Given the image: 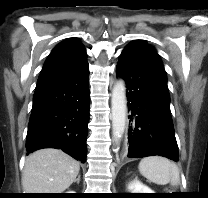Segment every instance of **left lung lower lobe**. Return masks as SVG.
Listing matches in <instances>:
<instances>
[{
  "mask_svg": "<svg viewBox=\"0 0 208 198\" xmlns=\"http://www.w3.org/2000/svg\"><path fill=\"white\" fill-rule=\"evenodd\" d=\"M116 74L128 90V157L159 155L178 161L167 79L154 50L144 41L131 42L120 55Z\"/></svg>",
  "mask_w": 208,
  "mask_h": 198,
  "instance_id": "1",
  "label": "left lung lower lobe"
}]
</instances>
